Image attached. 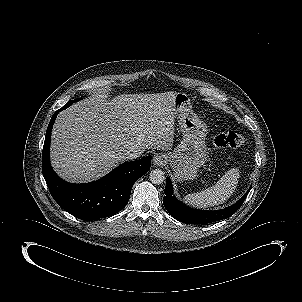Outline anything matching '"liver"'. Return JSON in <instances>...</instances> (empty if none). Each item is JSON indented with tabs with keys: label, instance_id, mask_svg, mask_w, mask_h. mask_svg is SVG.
Wrapping results in <instances>:
<instances>
[{
	"label": "liver",
	"instance_id": "liver-1",
	"mask_svg": "<svg viewBox=\"0 0 302 302\" xmlns=\"http://www.w3.org/2000/svg\"><path fill=\"white\" fill-rule=\"evenodd\" d=\"M176 94H122L60 112L50 146L55 172L69 182H89L123 163L125 151L170 149Z\"/></svg>",
	"mask_w": 302,
	"mask_h": 302
}]
</instances>
